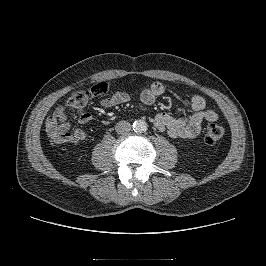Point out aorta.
<instances>
[{
  "label": "aorta",
  "mask_w": 266,
  "mask_h": 266,
  "mask_svg": "<svg viewBox=\"0 0 266 266\" xmlns=\"http://www.w3.org/2000/svg\"><path fill=\"white\" fill-rule=\"evenodd\" d=\"M146 129H147V123L144 120L139 119L133 123V130L135 132L142 133L146 131Z\"/></svg>",
  "instance_id": "1"
}]
</instances>
